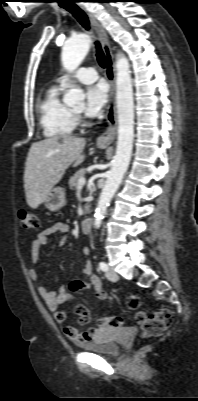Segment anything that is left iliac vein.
<instances>
[{"instance_id":"4c4485c4","label":"left iliac vein","mask_w":198,"mask_h":401,"mask_svg":"<svg viewBox=\"0 0 198 401\" xmlns=\"http://www.w3.org/2000/svg\"><path fill=\"white\" fill-rule=\"evenodd\" d=\"M105 276H106V278H107L108 280L113 281V282H115V281L118 280V275H117V273H116L112 268H109V269L106 271Z\"/></svg>"}]
</instances>
